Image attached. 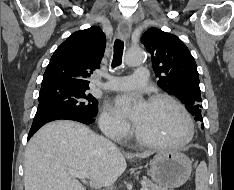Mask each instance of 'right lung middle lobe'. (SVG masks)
Returning <instances> with one entry per match:
<instances>
[{
    "instance_id": "right-lung-middle-lobe-1",
    "label": "right lung middle lobe",
    "mask_w": 234,
    "mask_h": 190,
    "mask_svg": "<svg viewBox=\"0 0 234 190\" xmlns=\"http://www.w3.org/2000/svg\"><path fill=\"white\" fill-rule=\"evenodd\" d=\"M88 89L89 87L65 83L41 85L39 106L33 123L58 112L94 118L97 113V100L87 92Z\"/></svg>"
}]
</instances>
